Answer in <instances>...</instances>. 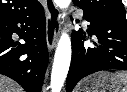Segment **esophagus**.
<instances>
[{
  "instance_id": "1",
  "label": "esophagus",
  "mask_w": 127,
  "mask_h": 92,
  "mask_svg": "<svg viewBox=\"0 0 127 92\" xmlns=\"http://www.w3.org/2000/svg\"><path fill=\"white\" fill-rule=\"evenodd\" d=\"M46 10V40L49 50H52L57 42L60 31V12L53 0H44Z\"/></svg>"
}]
</instances>
